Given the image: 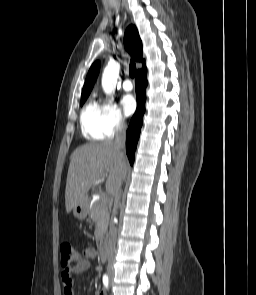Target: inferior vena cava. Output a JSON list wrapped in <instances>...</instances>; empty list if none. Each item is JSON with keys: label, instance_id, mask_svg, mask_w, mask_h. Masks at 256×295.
Segmentation results:
<instances>
[{"label": "inferior vena cava", "instance_id": "1", "mask_svg": "<svg viewBox=\"0 0 256 295\" xmlns=\"http://www.w3.org/2000/svg\"><path fill=\"white\" fill-rule=\"evenodd\" d=\"M125 137H126V124L123 120L119 122L116 126V137H115V146L120 151L121 156L124 157V149H125ZM122 167H129L128 159H121ZM119 177H124V172H119ZM111 195L114 197V206L111 211L112 217L110 221V229H109V239H108V271L112 272L113 270V258L116 249V228L114 225L113 218L117 212V205L121 195V182L117 181L114 188L111 191Z\"/></svg>", "mask_w": 256, "mask_h": 295}]
</instances>
